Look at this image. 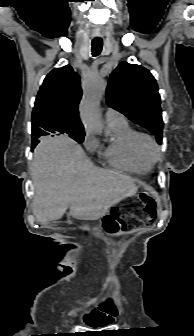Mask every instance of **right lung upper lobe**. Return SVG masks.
I'll list each match as a JSON object with an SVG mask.
<instances>
[{
	"label": "right lung upper lobe",
	"instance_id": "1",
	"mask_svg": "<svg viewBox=\"0 0 194 336\" xmlns=\"http://www.w3.org/2000/svg\"><path fill=\"white\" fill-rule=\"evenodd\" d=\"M81 96L80 77L69 65L55 68L46 76L33 108L32 146L41 136L84 133L78 116Z\"/></svg>",
	"mask_w": 194,
	"mask_h": 336
}]
</instances>
